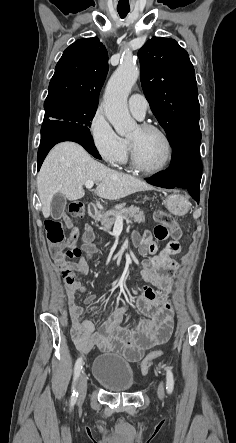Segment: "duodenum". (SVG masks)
I'll use <instances>...</instances> for the list:
<instances>
[{
	"label": "duodenum",
	"instance_id": "410a0bca",
	"mask_svg": "<svg viewBox=\"0 0 236 443\" xmlns=\"http://www.w3.org/2000/svg\"><path fill=\"white\" fill-rule=\"evenodd\" d=\"M88 215L91 218H95L99 215V208L94 202L88 203Z\"/></svg>",
	"mask_w": 236,
	"mask_h": 443
}]
</instances>
